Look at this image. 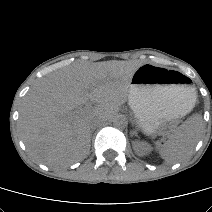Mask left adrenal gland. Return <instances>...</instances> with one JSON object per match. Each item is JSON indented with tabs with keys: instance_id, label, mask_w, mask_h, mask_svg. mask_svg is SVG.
Here are the masks:
<instances>
[{
	"instance_id": "left-adrenal-gland-1",
	"label": "left adrenal gland",
	"mask_w": 212,
	"mask_h": 212,
	"mask_svg": "<svg viewBox=\"0 0 212 212\" xmlns=\"http://www.w3.org/2000/svg\"><path fill=\"white\" fill-rule=\"evenodd\" d=\"M131 134H133V135H134V134H135V135H137L136 130L132 131V132H131Z\"/></svg>"
}]
</instances>
